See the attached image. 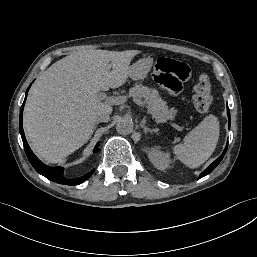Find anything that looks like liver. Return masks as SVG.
<instances>
[{"instance_id": "1", "label": "liver", "mask_w": 257, "mask_h": 257, "mask_svg": "<svg viewBox=\"0 0 257 257\" xmlns=\"http://www.w3.org/2000/svg\"><path fill=\"white\" fill-rule=\"evenodd\" d=\"M139 53L75 52L52 64L39 77L24 108V130L40 158L59 162L89 140L97 115L113 111L98 94L125 84L130 63Z\"/></svg>"}]
</instances>
